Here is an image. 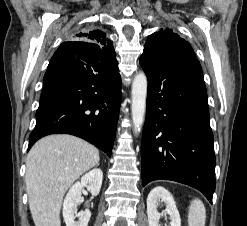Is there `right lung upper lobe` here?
I'll return each mask as SVG.
<instances>
[{"label":"right lung upper lobe","instance_id":"cb5924a9","mask_svg":"<svg viewBox=\"0 0 247 226\" xmlns=\"http://www.w3.org/2000/svg\"><path fill=\"white\" fill-rule=\"evenodd\" d=\"M74 38L86 43L95 44L104 48L112 47V43L106 37V34L101 30H86L75 34Z\"/></svg>","mask_w":247,"mask_h":226}]
</instances>
